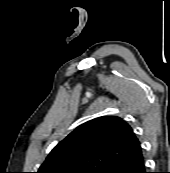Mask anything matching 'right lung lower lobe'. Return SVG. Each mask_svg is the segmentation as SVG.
Returning a JSON list of instances; mask_svg holds the SVG:
<instances>
[{
	"mask_svg": "<svg viewBox=\"0 0 170 173\" xmlns=\"http://www.w3.org/2000/svg\"><path fill=\"white\" fill-rule=\"evenodd\" d=\"M102 173H147L142 150L108 167Z\"/></svg>",
	"mask_w": 170,
	"mask_h": 173,
	"instance_id": "1",
	"label": "right lung lower lobe"
}]
</instances>
